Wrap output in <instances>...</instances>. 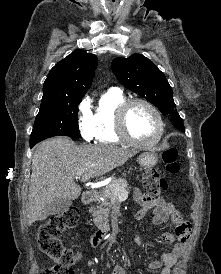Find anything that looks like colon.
Masks as SVG:
<instances>
[{"label": "colon", "instance_id": "colon-1", "mask_svg": "<svg viewBox=\"0 0 221 274\" xmlns=\"http://www.w3.org/2000/svg\"><path fill=\"white\" fill-rule=\"evenodd\" d=\"M162 158L168 173L177 174L179 172L178 152L175 148L165 150ZM143 186L150 195L157 196L167 189V182L157 172L148 171L143 176ZM79 216V209L70 207L40 226L39 248L56 263L52 267L43 269L41 274H74L72 267L77 262L79 255L63 246L60 235L64 230L74 228Z\"/></svg>", "mask_w": 221, "mask_h": 274}]
</instances>
